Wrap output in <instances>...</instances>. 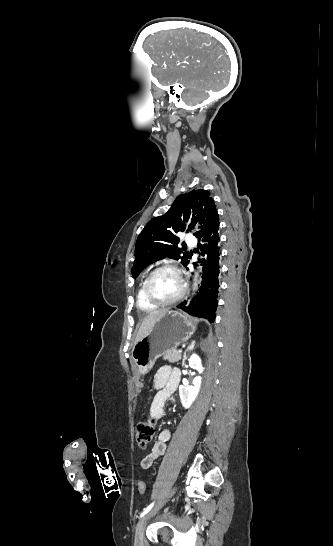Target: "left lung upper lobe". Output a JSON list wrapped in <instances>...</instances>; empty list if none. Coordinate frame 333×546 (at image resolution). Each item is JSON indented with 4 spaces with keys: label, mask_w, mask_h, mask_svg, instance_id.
Here are the masks:
<instances>
[{
    "label": "left lung upper lobe",
    "mask_w": 333,
    "mask_h": 546,
    "mask_svg": "<svg viewBox=\"0 0 333 546\" xmlns=\"http://www.w3.org/2000/svg\"><path fill=\"white\" fill-rule=\"evenodd\" d=\"M217 214L208 191L199 189L179 195L164 215L150 220L139 234L131 270L133 277L136 278L149 264L166 257L180 259L186 267L189 263L188 253L178 247L179 238L175 234L184 231L185 221L191 218L193 224H200L201 230L194 233L198 237ZM192 228L189 226V229Z\"/></svg>",
    "instance_id": "left-lung-upper-lobe-1"
}]
</instances>
